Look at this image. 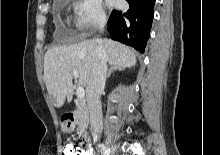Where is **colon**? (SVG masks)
I'll return each instance as SVG.
<instances>
[{
  "instance_id": "obj_1",
  "label": "colon",
  "mask_w": 220,
  "mask_h": 155,
  "mask_svg": "<svg viewBox=\"0 0 220 155\" xmlns=\"http://www.w3.org/2000/svg\"><path fill=\"white\" fill-rule=\"evenodd\" d=\"M81 140V139H80ZM82 140H85L84 138ZM86 145L65 143L63 145V155H83Z\"/></svg>"
}]
</instances>
